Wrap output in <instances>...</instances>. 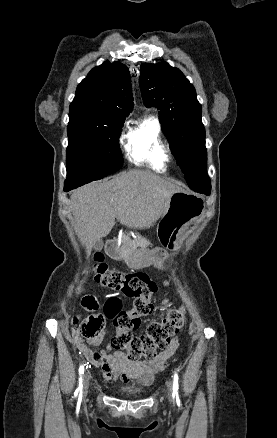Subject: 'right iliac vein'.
<instances>
[{
  "label": "right iliac vein",
  "mask_w": 277,
  "mask_h": 438,
  "mask_svg": "<svg viewBox=\"0 0 277 438\" xmlns=\"http://www.w3.org/2000/svg\"><path fill=\"white\" fill-rule=\"evenodd\" d=\"M89 380H90V376L88 375V373H86L84 375V381H83V396H85L88 392Z\"/></svg>",
  "instance_id": "63e3f726"
}]
</instances>
